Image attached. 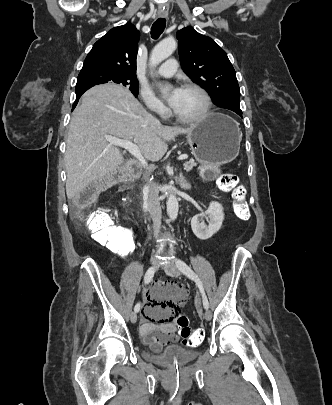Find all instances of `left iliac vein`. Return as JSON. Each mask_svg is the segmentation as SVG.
<instances>
[{
	"label": "left iliac vein",
	"mask_w": 332,
	"mask_h": 405,
	"mask_svg": "<svg viewBox=\"0 0 332 405\" xmlns=\"http://www.w3.org/2000/svg\"><path fill=\"white\" fill-rule=\"evenodd\" d=\"M163 270L165 271L166 274H168L171 277H179L180 276V271L178 267L172 263L166 264L163 266ZM204 318L205 320L209 321L212 318V313L210 310L206 309L204 313Z\"/></svg>",
	"instance_id": "left-iliac-vein-1"
}]
</instances>
